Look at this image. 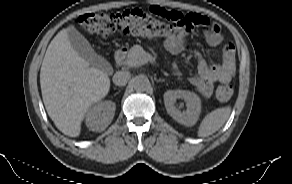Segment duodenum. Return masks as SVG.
<instances>
[{"label": "duodenum", "mask_w": 292, "mask_h": 184, "mask_svg": "<svg viewBox=\"0 0 292 184\" xmlns=\"http://www.w3.org/2000/svg\"><path fill=\"white\" fill-rule=\"evenodd\" d=\"M126 48H120L114 53V61L117 65H121L126 56Z\"/></svg>", "instance_id": "1"}]
</instances>
